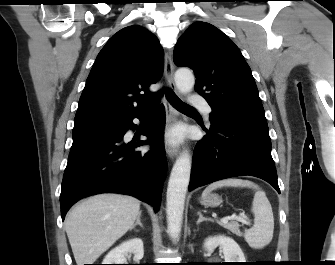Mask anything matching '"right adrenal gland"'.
I'll list each match as a JSON object with an SVG mask.
<instances>
[{
	"instance_id": "1",
	"label": "right adrenal gland",
	"mask_w": 335,
	"mask_h": 265,
	"mask_svg": "<svg viewBox=\"0 0 335 265\" xmlns=\"http://www.w3.org/2000/svg\"><path fill=\"white\" fill-rule=\"evenodd\" d=\"M140 217H141V213L137 216L136 222H135V224H133V226L131 227L130 230L135 229V227H136L137 225H139L140 227L143 228V225H142V223H141Z\"/></svg>"
}]
</instances>
